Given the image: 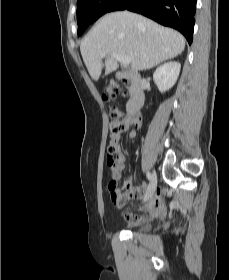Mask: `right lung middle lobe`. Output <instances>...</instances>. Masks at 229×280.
Listing matches in <instances>:
<instances>
[{
  "mask_svg": "<svg viewBox=\"0 0 229 280\" xmlns=\"http://www.w3.org/2000/svg\"><path fill=\"white\" fill-rule=\"evenodd\" d=\"M117 0H77L78 35L103 14L109 12Z\"/></svg>",
  "mask_w": 229,
  "mask_h": 280,
  "instance_id": "dd1d6c3e",
  "label": "right lung middle lobe"
}]
</instances>
